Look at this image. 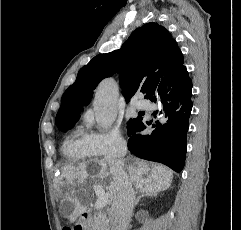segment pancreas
Segmentation results:
<instances>
[{
	"instance_id": "pancreas-1",
	"label": "pancreas",
	"mask_w": 241,
	"mask_h": 230,
	"mask_svg": "<svg viewBox=\"0 0 241 230\" xmlns=\"http://www.w3.org/2000/svg\"><path fill=\"white\" fill-rule=\"evenodd\" d=\"M89 226L90 230H108V221L106 216L101 213H95Z\"/></svg>"
}]
</instances>
